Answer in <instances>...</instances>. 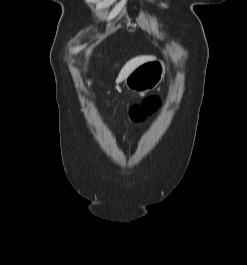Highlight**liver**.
<instances>
[{"mask_svg":"<svg viewBox=\"0 0 247 265\" xmlns=\"http://www.w3.org/2000/svg\"><path fill=\"white\" fill-rule=\"evenodd\" d=\"M152 60H155L154 56H138L129 60L119 72L116 83L124 81L137 67Z\"/></svg>","mask_w":247,"mask_h":265,"instance_id":"obj_1","label":"liver"}]
</instances>
